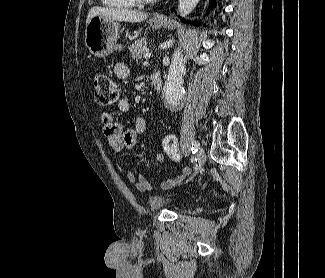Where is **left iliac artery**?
<instances>
[{"instance_id": "44dca946", "label": "left iliac artery", "mask_w": 325, "mask_h": 278, "mask_svg": "<svg viewBox=\"0 0 325 278\" xmlns=\"http://www.w3.org/2000/svg\"><path fill=\"white\" fill-rule=\"evenodd\" d=\"M199 142L198 141H194L192 143V147H191V150H192V153H196L199 149Z\"/></svg>"}]
</instances>
